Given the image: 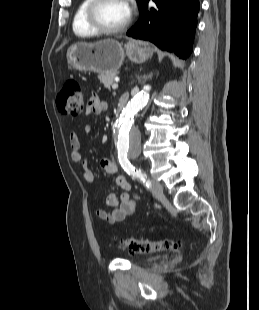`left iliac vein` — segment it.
Wrapping results in <instances>:
<instances>
[{
    "mask_svg": "<svg viewBox=\"0 0 259 310\" xmlns=\"http://www.w3.org/2000/svg\"><path fill=\"white\" fill-rule=\"evenodd\" d=\"M151 191L156 197H161L163 195V186L160 182L151 180Z\"/></svg>",
    "mask_w": 259,
    "mask_h": 310,
    "instance_id": "left-iliac-vein-1",
    "label": "left iliac vein"
}]
</instances>
